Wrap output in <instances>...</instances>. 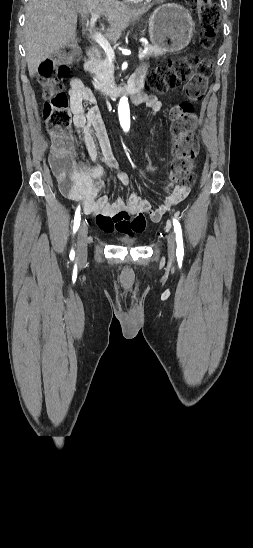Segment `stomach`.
Segmentation results:
<instances>
[{
    "instance_id": "0dacf381",
    "label": "stomach",
    "mask_w": 253,
    "mask_h": 548,
    "mask_svg": "<svg viewBox=\"0 0 253 548\" xmlns=\"http://www.w3.org/2000/svg\"><path fill=\"white\" fill-rule=\"evenodd\" d=\"M194 22L188 10L168 3L159 6L149 18V36L154 46L177 52L191 41Z\"/></svg>"
}]
</instances>
